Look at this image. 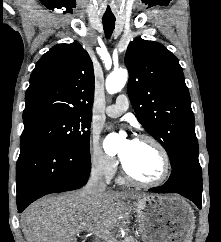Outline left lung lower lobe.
Masks as SVG:
<instances>
[{"instance_id":"1","label":"left lung lower lobe","mask_w":221,"mask_h":242,"mask_svg":"<svg viewBox=\"0 0 221 242\" xmlns=\"http://www.w3.org/2000/svg\"><path fill=\"white\" fill-rule=\"evenodd\" d=\"M149 190L155 193H178L201 209L202 170L198 156L182 158L172 167V173L164 185Z\"/></svg>"}]
</instances>
